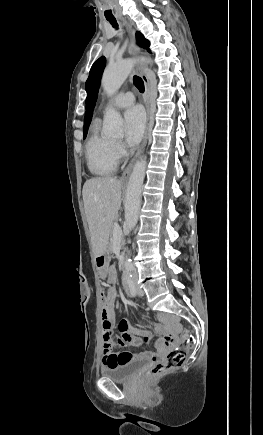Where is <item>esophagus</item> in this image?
<instances>
[{
  "instance_id": "esophagus-1",
  "label": "esophagus",
  "mask_w": 263,
  "mask_h": 435,
  "mask_svg": "<svg viewBox=\"0 0 263 435\" xmlns=\"http://www.w3.org/2000/svg\"><path fill=\"white\" fill-rule=\"evenodd\" d=\"M125 24V28L126 31L129 35V54L134 57L137 58L139 55V49L136 46V42H135V31L132 28L131 24H129L127 21L124 22ZM136 71L139 74V76L142 78L144 85H145V94H144V104H145V108H146V114H147V121H146V127H145V133H144V137L142 140V143L139 147V149L137 150V152L135 153L134 157L131 159V161L129 162L128 166L126 167V169L124 170V172L122 173L121 178L122 179H126L128 178V176L130 175L135 162L137 161V159L140 157V155L142 154L146 143H147V139H148V132H149V127H150V112H151V108H150V94H151V87H150V81L148 76L146 75V66L144 63L142 62H137L136 64Z\"/></svg>"
}]
</instances>
